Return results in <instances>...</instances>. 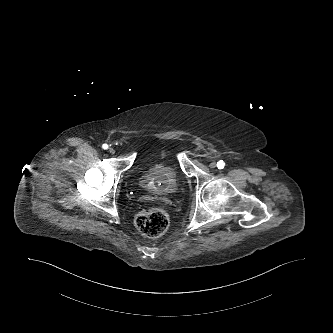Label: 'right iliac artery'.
<instances>
[{
    "instance_id": "82829eb1",
    "label": "right iliac artery",
    "mask_w": 333,
    "mask_h": 333,
    "mask_svg": "<svg viewBox=\"0 0 333 333\" xmlns=\"http://www.w3.org/2000/svg\"><path fill=\"white\" fill-rule=\"evenodd\" d=\"M102 148H103L104 150H106V149H108V145H107V144H103V145H102Z\"/></svg>"
}]
</instances>
